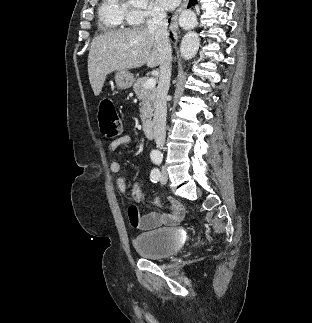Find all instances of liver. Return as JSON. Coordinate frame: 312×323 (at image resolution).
I'll return each instance as SVG.
<instances>
[{
    "label": "liver",
    "instance_id": "6515ba94",
    "mask_svg": "<svg viewBox=\"0 0 312 323\" xmlns=\"http://www.w3.org/2000/svg\"><path fill=\"white\" fill-rule=\"evenodd\" d=\"M161 60L159 38L154 28H126L118 32H105L91 42L88 56V74L95 96H99L105 78L115 70L156 68Z\"/></svg>",
    "mask_w": 312,
    "mask_h": 323
}]
</instances>
